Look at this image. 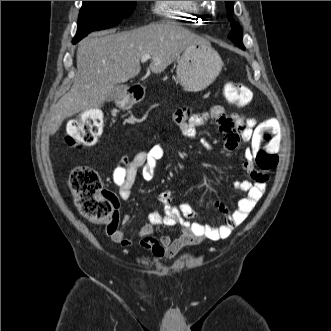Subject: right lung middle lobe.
Instances as JSON below:
<instances>
[{"label": "right lung middle lobe", "mask_w": 331, "mask_h": 331, "mask_svg": "<svg viewBox=\"0 0 331 331\" xmlns=\"http://www.w3.org/2000/svg\"><path fill=\"white\" fill-rule=\"evenodd\" d=\"M135 5L136 1H83L73 43H77L91 31L117 25L132 14Z\"/></svg>", "instance_id": "right-lung-middle-lobe-1"}]
</instances>
